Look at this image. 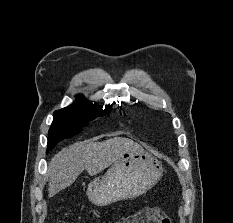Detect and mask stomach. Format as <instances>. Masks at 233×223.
Masks as SVG:
<instances>
[{
  "instance_id": "1",
  "label": "stomach",
  "mask_w": 233,
  "mask_h": 223,
  "mask_svg": "<svg viewBox=\"0 0 233 223\" xmlns=\"http://www.w3.org/2000/svg\"><path fill=\"white\" fill-rule=\"evenodd\" d=\"M162 171L160 161L139 145L113 161L106 173L91 179L86 195L94 205L132 199L154 187L161 179Z\"/></svg>"
}]
</instances>
